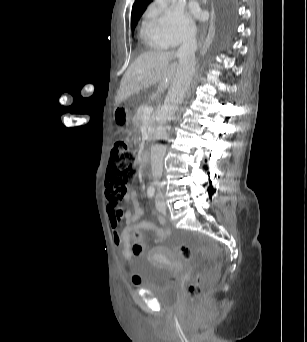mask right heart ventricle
<instances>
[{
  "label": "right heart ventricle",
  "mask_w": 307,
  "mask_h": 342,
  "mask_svg": "<svg viewBox=\"0 0 307 342\" xmlns=\"http://www.w3.org/2000/svg\"><path fill=\"white\" fill-rule=\"evenodd\" d=\"M139 40L145 53H155L164 48L161 43L155 41L144 33L139 35Z\"/></svg>",
  "instance_id": "1"
}]
</instances>
